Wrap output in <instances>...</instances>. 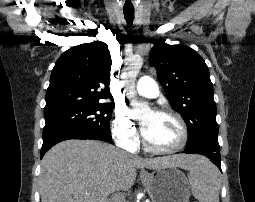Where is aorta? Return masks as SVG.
Instances as JSON below:
<instances>
[{
	"label": "aorta",
	"instance_id": "1",
	"mask_svg": "<svg viewBox=\"0 0 255 202\" xmlns=\"http://www.w3.org/2000/svg\"><path fill=\"white\" fill-rule=\"evenodd\" d=\"M143 65V59L140 56H133L125 63L122 72V83L128 92L131 105L133 107L132 116L141 118L150 112V107L145 102H139L135 97V78Z\"/></svg>",
	"mask_w": 255,
	"mask_h": 202
}]
</instances>
